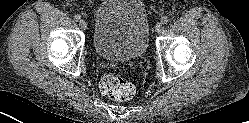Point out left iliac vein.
I'll use <instances>...</instances> for the list:
<instances>
[{
  "instance_id": "4c4485c4",
  "label": "left iliac vein",
  "mask_w": 249,
  "mask_h": 123,
  "mask_svg": "<svg viewBox=\"0 0 249 123\" xmlns=\"http://www.w3.org/2000/svg\"><path fill=\"white\" fill-rule=\"evenodd\" d=\"M164 29V23L163 22H157L155 25V31L157 33H161Z\"/></svg>"
}]
</instances>
